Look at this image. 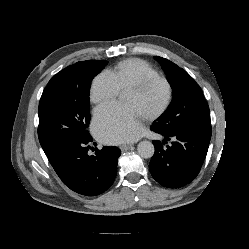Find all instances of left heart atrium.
Wrapping results in <instances>:
<instances>
[{"label": "left heart atrium", "instance_id": "left-heart-atrium-1", "mask_svg": "<svg viewBox=\"0 0 249 249\" xmlns=\"http://www.w3.org/2000/svg\"><path fill=\"white\" fill-rule=\"evenodd\" d=\"M141 117L129 106L107 104L94 113L93 131L107 144H119L137 139L141 135Z\"/></svg>", "mask_w": 249, "mask_h": 249}]
</instances>
